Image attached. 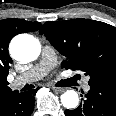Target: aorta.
<instances>
[{
    "label": "aorta",
    "mask_w": 116,
    "mask_h": 116,
    "mask_svg": "<svg viewBox=\"0 0 116 116\" xmlns=\"http://www.w3.org/2000/svg\"><path fill=\"white\" fill-rule=\"evenodd\" d=\"M41 45L38 39L29 34L16 36L10 44L11 56L22 63L33 61L40 54ZM61 103L67 109H75L79 104L78 93L68 90L61 95Z\"/></svg>",
    "instance_id": "obj_1"
}]
</instances>
